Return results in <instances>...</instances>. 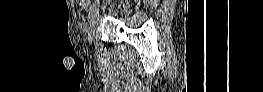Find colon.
<instances>
[{"label": "colon", "instance_id": "colon-1", "mask_svg": "<svg viewBox=\"0 0 263 92\" xmlns=\"http://www.w3.org/2000/svg\"><path fill=\"white\" fill-rule=\"evenodd\" d=\"M78 2H80L81 4H83V5H88L89 3H91L92 1H90V0H80V1H78Z\"/></svg>", "mask_w": 263, "mask_h": 92}]
</instances>
